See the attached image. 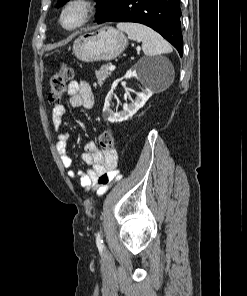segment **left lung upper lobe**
<instances>
[{"mask_svg": "<svg viewBox=\"0 0 247 296\" xmlns=\"http://www.w3.org/2000/svg\"><path fill=\"white\" fill-rule=\"evenodd\" d=\"M68 0H59L57 5L60 6L64 2H67ZM98 4V10L96 12L95 17L97 18L100 14H102L110 5L112 0H95Z\"/></svg>", "mask_w": 247, "mask_h": 296, "instance_id": "obj_1", "label": "left lung upper lobe"}]
</instances>
